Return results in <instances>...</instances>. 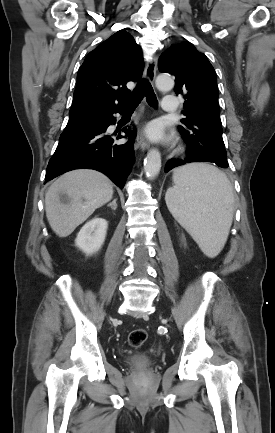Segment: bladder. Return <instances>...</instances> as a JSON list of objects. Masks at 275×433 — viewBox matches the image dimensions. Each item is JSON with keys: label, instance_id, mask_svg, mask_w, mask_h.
I'll list each match as a JSON object with an SVG mask.
<instances>
[{"label": "bladder", "instance_id": "bladder-1", "mask_svg": "<svg viewBox=\"0 0 275 433\" xmlns=\"http://www.w3.org/2000/svg\"><path fill=\"white\" fill-rule=\"evenodd\" d=\"M129 362L133 366H148L151 360L149 356L142 354L130 358Z\"/></svg>", "mask_w": 275, "mask_h": 433}]
</instances>
